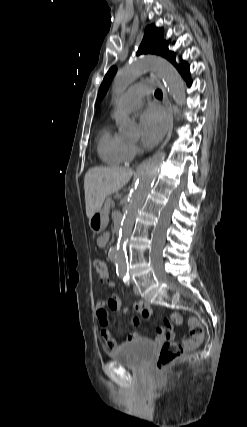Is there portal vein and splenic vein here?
I'll return each mask as SVG.
<instances>
[{
  "mask_svg": "<svg viewBox=\"0 0 247 427\" xmlns=\"http://www.w3.org/2000/svg\"><path fill=\"white\" fill-rule=\"evenodd\" d=\"M112 205L114 206V205H115V203L113 202V203H112Z\"/></svg>",
  "mask_w": 247,
  "mask_h": 427,
  "instance_id": "1",
  "label": "portal vein and splenic vein"
}]
</instances>
